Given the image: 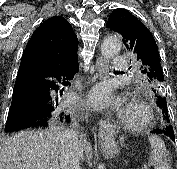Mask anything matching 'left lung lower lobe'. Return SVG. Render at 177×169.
Here are the masks:
<instances>
[{
    "label": "left lung lower lobe",
    "instance_id": "0a47b994",
    "mask_svg": "<svg viewBox=\"0 0 177 169\" xmlns=\"http://www.w3.org/2000/svg\"><path fill=\"white\" fill-rule=\"evenodd\" d=\"M163 98H161L160 96H157V104L160 105L161 100ZM152 133H156V134H164L166 136H168L171 140L175 141V136H174V131H171V127L167 126V127H162V128H158L156 130L151 131Z\"/></svg>",
    "mask_w": 177,
    "mask_h": 169
}]
</instances>
